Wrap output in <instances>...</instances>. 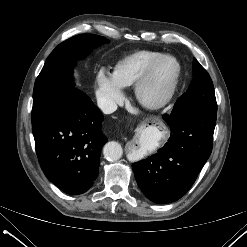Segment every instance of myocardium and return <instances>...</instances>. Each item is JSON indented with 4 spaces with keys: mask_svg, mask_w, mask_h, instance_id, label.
Returning a JSON list of instances; mask_svg holds the SVG:
<instances>
[{
    "mask_svg": "<svg viewBox=\"0 0 247 247\" xmlns=\"http://www.w3.org/2000/svg\"><path fill=\"white\" fill-rule=\"evenodd\" d=\"M166 60L172 61L175 65L173 76L161 94L155 97H150L146 93L147 87L149 86L157 67ZM180 74L181 67L178 60L169 54L161 55L148 66L135 83L134 93L137 101L147 109L157 110L163 108L172 100L178 86Z\"/></svg>",
    "mask_w": 247,
    "mask_h": 247,
    "instance_id": "obj_1",
    "label": "myocardium"
}]
</instances>
